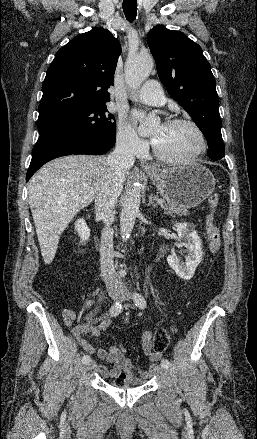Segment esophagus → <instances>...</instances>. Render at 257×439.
I'll return each instance as SVG.
<instances>
[{
  "mask_svg": "<svg viewBox=\"0 0 257 439\" xmlns=\"http://www.w3.org/2000/svg\"><path fill=\"white\" fill-rule=\"evenodd\" d=\"M141 167L144 170H154V166H152L151 164L147 163V162H141Z\"/></svg>",
  "mask_w": 257,
  "mask_h": 439,
  "instance_id": "obj_1",
  "label": "esophagus"
}]
</instances>
